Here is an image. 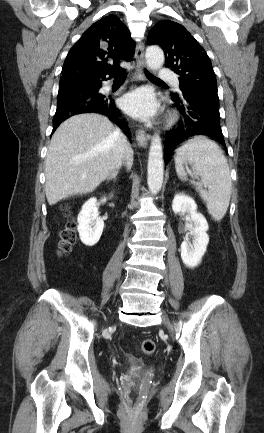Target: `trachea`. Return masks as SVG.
<instances>
[{
	"label": "trachea",
	"mask_w": 264,
	"mask_h": 433,
	"mask_svg": "<svg viewBox=\"0 0 264 433\" xmlns=\"http://www.w3.org/2000/svg\"><path fill=\"white\" fill-rule=\"evenodd\" d=\"M125 77H126L125 74H123V75H119V76H118V78H125ZM147 78L150 79V80H154V81H160V82H162V80H160L159 78L153 76V75L150 74V73H147Z\"/></svg>",
	"instance_id": "trachea-1"
}]
</instances>
